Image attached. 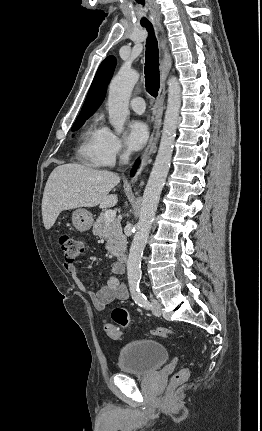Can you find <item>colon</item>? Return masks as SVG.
I'll return each instance as SVG.
<instances>
[{
  "instance_id": "obj_1",
  "label": "colon",
  "mask_w": 262,
  "mask_h": 431,
  "mask_svg": "<svg viewBox=\"0 0 262 431\" xmlns=\"http://www.w3.org/2000/svg\"><path fill=\"white\" fill-rule=\"evenodd\" d=\"M59 244L63 252L64 262L66 264H73L85 252L84 242L71 235H62L59 239ZM112 318L115 324L105 322L104 331L107 336L113 340H117L121 333L120 329L129 328L131 326V316L126 307L118 306L112 312ZM152 333L160 337H183L184 335L171 330L169 328H154ZM190 376L188 369L179 370L173 377L174 384L185 382Z\"/></svg>"
}]
</instances>
